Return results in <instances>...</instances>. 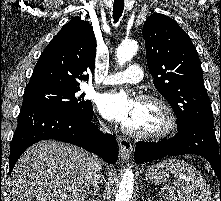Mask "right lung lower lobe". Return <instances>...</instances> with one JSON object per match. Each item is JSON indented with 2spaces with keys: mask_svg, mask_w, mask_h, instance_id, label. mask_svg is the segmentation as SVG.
<instances>
[{
  "mask_svg": "<svg viewBox=\"0 0 221 201\" xmlns=\"http://www.w3.org/2000/svg\"><path fill=\"white\" fill-rule=\"evenodd\" d=\"M93 111L88 115L28 106L20 110L18 126L10 145L9 173L21 154L34 143L55 139L82 147L112 164L117 161L116 138L101 135L92 123Z\"/></svg>",
  "mask_w": 221,
  "mask_h": 201,
  "instance_id": "1",
  "label": "right lung lower lobe"
}]
</instances>
